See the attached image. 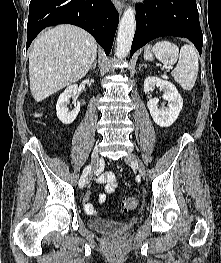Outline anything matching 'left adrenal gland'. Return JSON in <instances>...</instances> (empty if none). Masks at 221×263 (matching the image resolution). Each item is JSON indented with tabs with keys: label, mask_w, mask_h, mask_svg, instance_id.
<instances>
[{
	"label": "left adrenal gland",
	"mask_w": 221,
	"mask_h": 263,
	"mask_svg": "<svg viewBox=\"0 0 221 263\" xmlns=\"http://www.w3.org/2000/svg\"><path fill=\"white\" fill-rule=\"evenodd\" d=\"M143 66L146 68V65H140V66H139V69H140L141 67H143Z\"/></svg>",
	"instance_id": "1"
}]
</instances>
